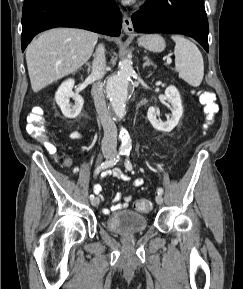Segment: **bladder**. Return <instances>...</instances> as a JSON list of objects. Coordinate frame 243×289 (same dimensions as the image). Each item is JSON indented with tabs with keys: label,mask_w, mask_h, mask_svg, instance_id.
<instances>
[{
	"label": "bladder",
	"mask_w": 243,
	"mask_h": 289,
	"mask_svg": "<svg viewBox=\"0 0 243 289\" xmlns=\"http://www.w3.org/2000/svg\"><path fill=\"white\" fill-rule=\"evenodd\" d=\"M109 231L119 234L142 232L148 227L147 218L132 210H120L110 214L106 219Z\"/></svg>",
	"instance_id": "31cf9c89"
}]
</instances>
